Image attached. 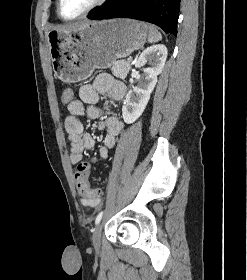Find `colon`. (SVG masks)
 Wrapping results in <instances>:
<instances>
[{
  "instance_id": "5ec220e1",
  "label": "colon",
  "mask_w": 247,
  "mask_h": 280,
  "mask_svg": "<svg viewBox=\"0 0 247 280\" xmlns=\"http://www.w3.org/2000/svg\"><path fill=\"white\" fill-rule=\"evenodd\" d=\"M74 93L69 87H65L61 91V102L65 105L73 101ZM90 172V164L82 162L78 165L75 172V180L79 194L88 199H96L102 195L101 187H92L88 182Z\"/></svg>"
}]
</instances>
